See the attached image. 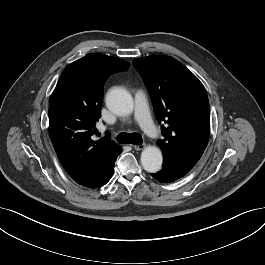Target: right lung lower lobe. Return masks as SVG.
Segmentation results:
<instances>
[{
    "label": "right lung lower lobe",
    "mask_w": 265,
    "mask_h": 265,
    "mask_svg": "<svg viewBox=\"0 0 265 265\" xmlns=\"http://www.w3.org/2000/svg\"><path fill=\"white\" fill-rule=\"evenodd\" d=\"M121 153L119 147L115 151L100 157L90 168L86 171L71 176L76 183L88 187L98 188L105 185L113 175L114 163L116 158Z\"/></svg>",
    "instance_id": "1"
}]
</instances>
